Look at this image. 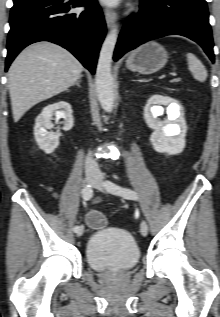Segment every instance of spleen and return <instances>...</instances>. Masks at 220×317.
I'll return each mask as SVG.
<instances>
[{
    "label": "spleen",
    "instance_id": "obj_1",
    "mask_svg": "<svg viewBox=\"0 0 220 317\" xmlns=\"http://www.w3.org/2000/svg\"><path fill=\"white\" fill-rule=\"evenodd\" d=\"M186 57L193 77L199 82H204L207 78V71L202 62L192 53H187Z\"/></svg>",
    "mask_w": 220,
    "mask_h": 317
}]
</instances>
